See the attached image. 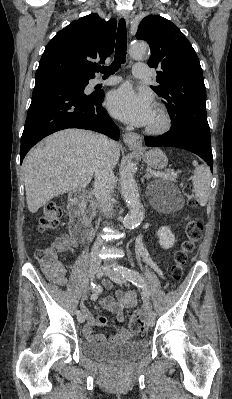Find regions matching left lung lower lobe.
Listing matches in <instances>:
<instances>
[{
    "mask_svg": "<svg viewBox=\"0 0 232 399\" xmlns=\"http://www.w3.org/2000/svg\"><path fill=\"white\" fill-rule=\"evenodd\" d=\"M145 144L150 147L168 146L189 150L200 156L213 170L211 141L192 132L170 129L158 137H145Z\"/></svg>",
    "mask_w": 232,
    "mask_h": 399,
    "instance_id": "1",
    "label": "left lung lower lobe"
}]
</instances>
